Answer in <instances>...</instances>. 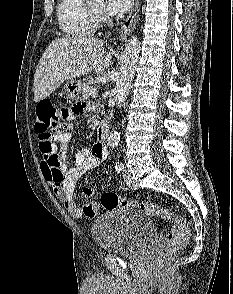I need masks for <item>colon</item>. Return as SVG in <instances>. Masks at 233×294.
<instances>
[{"mask_svg":"<svg viewBox=\"0 0 233 294\" xmlns=\"http://www.w3.org/2000/svg\"><path fill=\"white\" fill-rule=\"evenodd\" d=\"M62 120L60 110L49 100H42L36 109L35 130L39 135L40 149H50L54 137L67 129H60L58 121ZM101 205L105 209H112L122 205H129L137 208L146 215L158 217L172 222L173 227L167 234L164 245L158 252V262L163 264L171 254L182 247L189 239L188 222L181 216L174 214L170 209L162 207L153 202L147 201H126L116 193L108 192L101 196ZM87 212L93 211V206L86 207Z\"/></svg>","mask_w":233,"mask_h":294,"instance_id":"obj_1","label":"colon"}]
</instances>
